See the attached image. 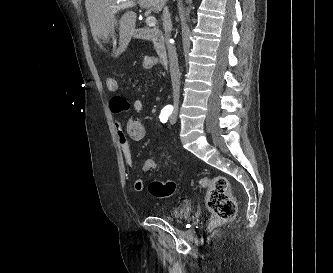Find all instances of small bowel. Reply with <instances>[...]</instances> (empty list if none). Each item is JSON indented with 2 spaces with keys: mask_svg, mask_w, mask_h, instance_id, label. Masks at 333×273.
<instances>
[{
  "mask_svg": "<svg viewBox=\"0 0 333 273\" xmlns=\"http://www.w3.org/2000/svg\"><path fill=\"white\" fill-rule=\"evenodd\" d=\"M153 60L151 57L144 59ZM142 68L144 72H150V69L155 68L154 62H143ZM111 109L114 113V127L117 133L118 141L121 147V151L128 166L133 165L132 151L129 144V140L141 141L145 138L146 131L141 121V114L143 111V101L141 99H135L132 104V110L123 124L121 116L122 114L129 113L128 101H125V96H110ZM144 169V166H143ZM133 187L136 191H142L144 189V180L140 177L136 178L133 183Z\"/></svg>",
  "mask_w": 333,
  "mask_h": 273,
  "instance_id": "small-bowel-1",
  "label": "small bowel"
}]
</instances>
